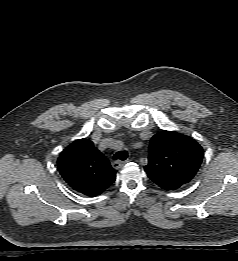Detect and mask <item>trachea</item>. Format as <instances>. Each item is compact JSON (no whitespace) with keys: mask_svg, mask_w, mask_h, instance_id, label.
I'll return each instance as SVG.
<instances>
[{"mask_svg":"<svg viewBox=\"0 0 238 261\" xmlns=\"http://www.w3.org/2000/svg\"><path fill=\"white\" fill-rule=\"evenodd\" d=\"M127 157H128V153L125 150H123V151H119V152L115 153L113 156V160L124 161V160H126Z\"/></svg>","mask_w":238,"mask_h":261,"instance_id":"obj_1","label":"trachea"}]
</instances>
